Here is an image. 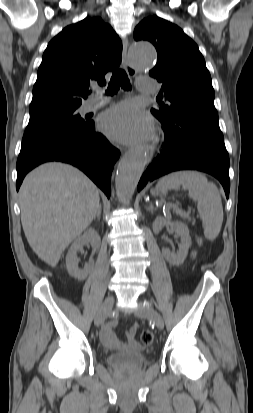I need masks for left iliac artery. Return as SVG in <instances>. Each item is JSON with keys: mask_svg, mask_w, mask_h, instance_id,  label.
Masks as SVG:
<instances>
[{"mask_svg": "<svg viewBox=\"0 0 253 413\" xmlns=\"http://www.w3.org/2000/svg\"><path fill=\"white\" fill-rule=\"evenodd\" d=\"M144 303H145V304H147V305H149V303H148V302H146V301H145Z\"/></svg>", "mask_w": 253, "mask_h": 413, "instance_id": "obj_1", "label": "left iliac artery"}]
</instances>
